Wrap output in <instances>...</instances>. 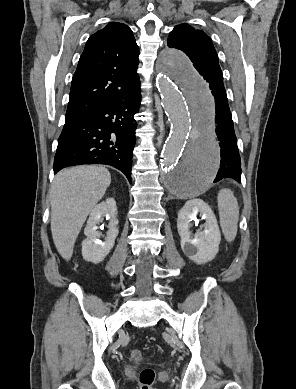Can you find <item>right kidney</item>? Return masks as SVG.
<instances>
[{
    "label": "right kidney",
    "mask_w": 296,
    "mask_h": 389,
    "mask_svg": "<svg viewBox=\"0 0 296 389\" xmlns=\"http://www.w3.org/2000/svg\"><path fill=\"white\" fill-rule=\"evenodd\" d=\"M104 218L109 220V224L105 240L102 242L100 240L102 234L98 231V225L103 222ZM118 223L114 198H107L91 210L84 229L86 239L82 242V256L86 261L97 264L104 260L113 248L118 236Z\"/></svg>",
    "instance_id": "1"
}]
</instances>
